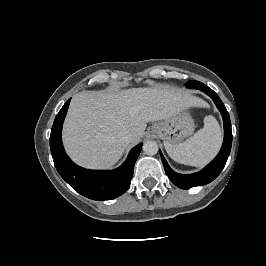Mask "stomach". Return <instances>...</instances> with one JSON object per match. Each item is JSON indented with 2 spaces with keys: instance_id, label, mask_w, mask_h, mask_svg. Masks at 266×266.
Masks as SVG:
<instances>
[{
  "instance_id": "stomach-1",
  "label": "stomach",
  "mask_w": 266,
  "mask_h": 266,
  "mask_svg": "<svg viewBox=\"0 0 266 266\" xmlns=\"http://www.w3.org/2000/svg\"><path fill=\"white\" fill-rule=\"evenodd\" d=\"M194 121L187 110L176 113L162 122L154 124L150 133L172 145L180 143L194 131Z\"/></svg>"
}]
</instances>
